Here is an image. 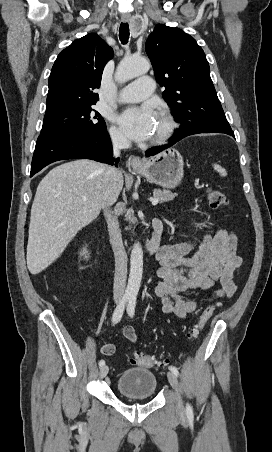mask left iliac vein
<instances>
[{
    "label": "left iliac vein",
    "mask_w": 272,
    "mask_h": 452,
    "mask_svg": "<svg viewBox=\"0 0 272 452\" xmlns=\"http://www.w3.org/2000/svg\"><path fill=\"white\" fill-rule=\"evenodd\" d=\"M167 378L168 381L170 383V385L172 386V388L175 390L176 393V404H177V409L183 413L184 412V406H183V402L179 393V384H178V379L176 377V375L172 372L169 371L167 372Z\"/></svg>",
    "instance_id": "obj_1"
}]
</instances>
